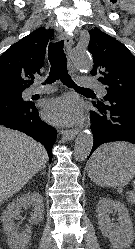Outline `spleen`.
<instances>
[{
    "label": "spleen",
    "instance_id": "obj_1",
    "mask_svg": "<svg viewBox=\"0 0 135 249\" xmlns=\"http://www.w3.org/2000/svg\"><path fill=\"white\" fill-rule=\"evenodd\" d=\"M104 149H106V147H104ZM108 149L135 157V146L125 142L113 143L110 146H108ZM100 152L101 149H98L94 153L92 158H95L97 155L100 154ZM133 187L135 189V180L133 181Z\"/></svg>",
    "mask_w": 135,
    "mask_h": 249
}]
</instances>
